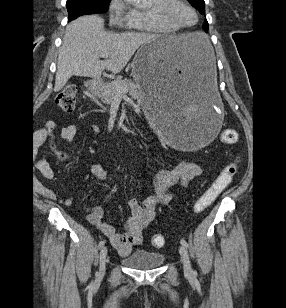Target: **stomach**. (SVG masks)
Returning a JSON list of instances; mask_svg holds the SVG:
<instances>
[{"mask_svg":"<svg viewBox=\"0 0 286 308\" xmlns=\"http://www.w3.org/2000/svg\"><path fill=\"white\" fill-rule=\"evenodd\" d=\"M132 76L143 90L144 114L162 144L194 153L217 144L221 125L215 48L202 36H155L140 44Z\"/></svg>","mask_w":286,"mask_h":308,"instance_id":"stomach-1","label":"stomach"}]
</instances>
